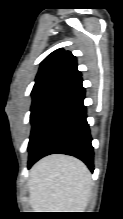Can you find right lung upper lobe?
Wrapping results in <instances>:
<instances>
[{
  "instance_id": "1",
  "label": "right lung upper lobe",
  "mask_w": 123,
  "mask_h": 219,
  "mask_svg": "<svg viewBox=\"0 0 123 219\" xmlns=\"http://www.w3.org/2000/svg\"><path fill=\"white\" fill-rule=\"evenodd\" d=\"M76 57L63 48L49 54L41 63L34 88L54 81L72 82L80 77Z\"/></svg>"
}]
</instances>
